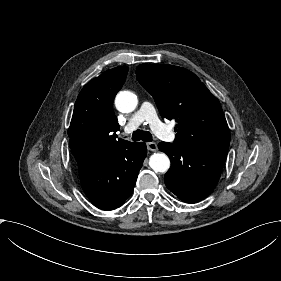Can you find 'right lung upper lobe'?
<instances>
[{
  "label": "right lung upper lobe",
  "mask_w": 281,
  "mask_h": 281,
  "mask_svg": "<svg viewBox=\"0 0 281 281\" xmlns=\"http://www.w3.org/2000/svg\"><path fill=\"white\" fill-rule=\"evenodd\" d=\"M127 73V66L110 69L81 90L68 129L71 153L77 163L83 159L96 161L113 156L131 143L116 140L120 128L113 111V98L124 84Z\"/></svg>",
  "instance_id": "1"
}]
</instances>
